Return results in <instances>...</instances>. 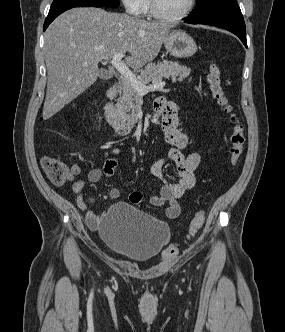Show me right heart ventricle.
Segmentation results:
<instances>
[{"mask_svg": "<svg viewBox=\"0 0 285 332\" xmlns=\"http://www.w3.org/2000/svg\"><path fill=\"white\" fill-rule=\"evenodd\" d=\"M150 11V0H146L142 13L147 14Z\"/></svg>", "mask_w": 285, "mask_h": 332, "instance_id": "right-heart-ventricle-1", "label": "right heart ventricle"}]
</instances>
